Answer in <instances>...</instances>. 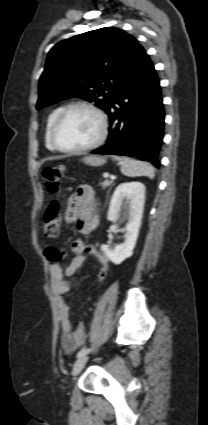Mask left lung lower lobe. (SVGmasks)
Here are the masks:
<instances>
[{
  "instance_id": "1",
  "label": "left lung lower lobe",
  "mask_w": 208,
  "mask_h": 425,
  "mask_svg": "<svg viewBox=\"0 0 208 425\" xmlns=\"http://www.w3.org/2000/svg\"><path fill=\"white\" fill-rule=\"evenodd\" d=\"M105 112L109 117L108 140L92 153L137 157L159 168L165 115L159 78L148 55L117 89Z\"/></svg>"
}]
</instances>
